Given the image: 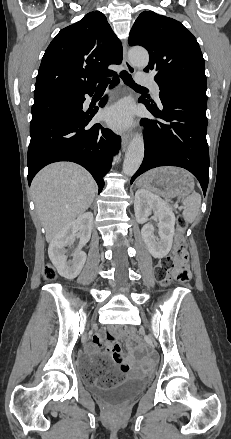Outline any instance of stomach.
I'll return each instance as SVG.
<instances>
[{
    "label": "stomach",
    "mask_w": 231,
    "mask_h": 439,
    "mask_svg": "<svg viewBox=\"0 0 231 439\" xmlns=\"http://www.w3.org/2000/svg\"><path fill=\"white\" fill-rule=\"evenodd\" d=\"M140 184L165 198H183L194 189L192 175L177 167L153 169L140 178Z\"/></svg>",
    "instance_id": "stomach-1"
}]
</instances>
